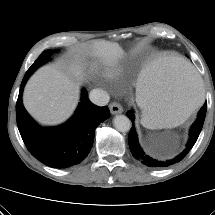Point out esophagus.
<instances>
[{"mask_svg":"<svg viewBox=\"0 0 215 215\" xmlns=\"http://www.w3.org/2000/svg\"><path fill=\"white\" fill-rule=\"evenodd\" d=\"M109 108H110V112L111 114L115 115V114H120L123 112V108L122 106L117 103V102H112L110 105H109Z\"/></svg>","mask_w":215,"mask_h":215,"instance_id":"esophagus-1","label":"esophagus"}]
</instances>
